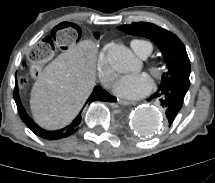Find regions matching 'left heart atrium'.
<instances>
[{"label":"left heart atrium","mask_w":215,"mask_h":183,"mask_svg":"<svg viewBox=\"0 0 215 183\" xmlns=\"http://www.w3.org/2000/svg\"><path fill=\"white\" fill-rule=\"evenodd\" d=\"M151 89L152 81L145 73L124 75L117 80L113 88L115 94L129 99L143 97Z\"/></svg>","instance_id":"1"}]
</instances>
